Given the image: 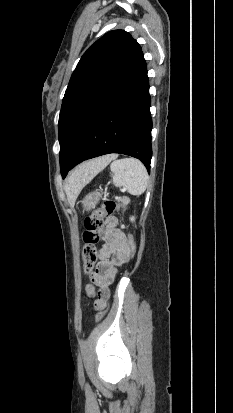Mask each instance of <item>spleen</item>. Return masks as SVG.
Here are the masks:
<instances>
[{
	"instance_id": "3e777b00",
	"label": "spleen",
	"mask_w": 233,
	"mask_h": 413,
	"mask_svg": "<svg viewBox=\"0 0 233 413\" xmlns=\"http://www.w3.org/2000/svg\"><path fill=\"white\" fill-rule=\"evenodd\" d=\"M110 169L116 187H123L134 196H140L145 192L148 186V173L139 160L134 158L114 160Z\"/></svg>"
}]
</instances>
